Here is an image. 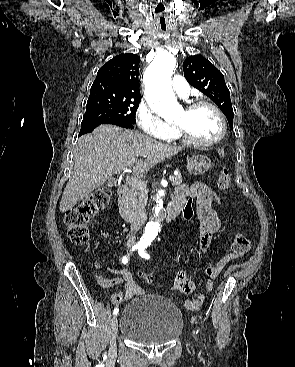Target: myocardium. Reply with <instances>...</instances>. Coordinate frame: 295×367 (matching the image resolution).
<instances>
[{
  "instance_id": "myocardium-1",
  "label": "myocardium",
  "mask_w": 295,
  "mask_h": 367,
  "mask_svg": "<svg viewBox=\"0 0 295 367\" xmlns=\"http://www.w3.org/2000/svg\"><path fill=\"white\" fill-rule=\"evenodd\" d=\"M199 107H209L211 108L216 115L219 118L220 124H221V131L220 134L218 135V137H216L213 140H209V141H200L197 140L196 138H194L189 131L182 125L180 124H176V129L178 131V134L189 144L194 145V146H198V147H209V146H214L216 144H218L219 142H221L227 132V123H226V119L224 117V114L222 113V111L219 109L218 106H216L214 103L206 101V100H197L194 101L192 103H190L185 110L187 111H193Z\"/></svg>"
}]
</instances>
